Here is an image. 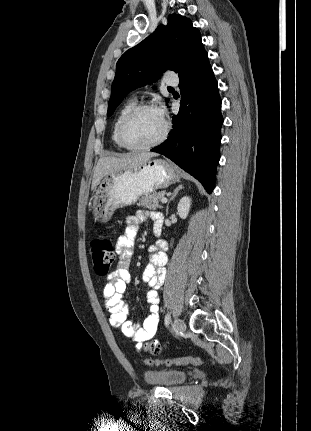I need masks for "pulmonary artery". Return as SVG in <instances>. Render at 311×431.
<instances>
[{"label": "pulmonary artery", "instance_id": "e3ab8cb5", "mask_svg": "<svg viewBox=\"0 0 311 431\" xmlns=\"http://www.w3.org/2000/svg\"><path fill=\"white\" fill-rule=\"evenodd\" d=\"M164 82L168 85H176L177 81L164 78Z\"/></svg>", "mask_w": 311, "mask_h": 431}]
</instances>
